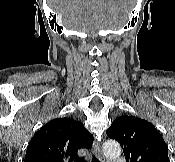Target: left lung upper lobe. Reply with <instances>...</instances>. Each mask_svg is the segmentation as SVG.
I'll return each mask as SVG.
<instances>
[{
  "instance_id": "1",
  "label": "left lung upper lobe",
  "mask_w": 175,
  "mask_h": 162,
  "mask_svg": "<svg viewBox=\"0 0 175 162\" xmlns=\"http://www.w3.org/2000/svg\"><path fill=\"white\" fill-rule=\"evenodd\" d=\"M106 133L120 142L127 162H169L166 143L154 125L146 120L120 116Z\"/></svg>"
}]
</instances>
